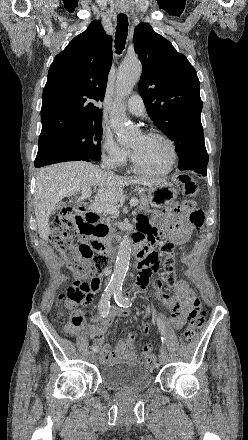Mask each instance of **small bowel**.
I'll return each instance as SVG.
<instances>
[{"label":"small bowel","instance_id":"c3829d8e","mask_svg":"<svg viewBox=\"0 0 248 440\" xmlns=\"http://www.w3.org/2000/svg\"><path fill=\"white\" fill-rule=\"evenodd\" d=\"M163 227H169L173 231V236L186 235L192 230L189 223L181 220L176 209H168L163 212L157 213L152 219H148L144 215L138 217V232L137 235L147 240L150 243H154L159 235L160 230ZM183 263L190 264L192 261L191 256H184ZM143 266L139 268V280L138 285L142 288L148 285L152 271L158 273L160 280L155 279L152 285L147 286L148 292H153L159 299L162 306L172 312L171 324L175 329L183 327L186 316L189 312L199 307L198 300L190 288L189 284L184 280H178L175 273L179 267V260L177 257H165L160 258L156 254L150 257H144L142 259ZM106 267H97L96 271L92 272L96 281V289H99L101 283V272H106ZM164 285V286H163ZM164 287L166 291H175L174 296L163 292L160 288ZM63 314V313H61ZM76 314L82 315L80 310L76 311ZM117 314L124 315L119 310H112L102 320H96L95 323L90 325L86 330L89 336L93 339L95 346L100 348V361L103 364L126 359L133 362H141L135 352V336L132 333L126 334L113 349L104 342V335L107 332L113 318ZM84 330L80 326L67 325L65 331L72 335L77 336Z\"/></svg>","mask_w":248,"mask_h":440}]
</instances>
